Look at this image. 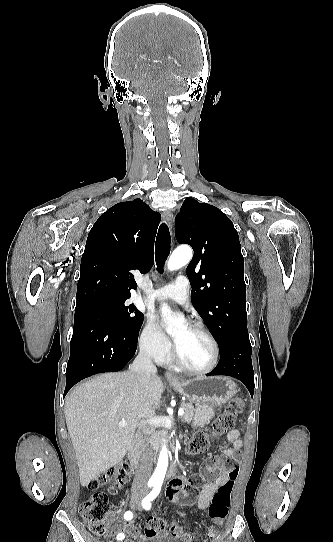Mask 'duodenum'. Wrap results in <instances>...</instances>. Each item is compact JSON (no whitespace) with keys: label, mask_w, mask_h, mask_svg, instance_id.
Instances as JSON below:
<instances>
[{"label":"duodenum","mask_w":333,"mask_h":542,"mask_svg":"<svg viewBox=\"0 0 333 542\" xmlns=\"http://www.w3.org/2000/svg\"><path fill=\"white\" fill-rule=\"evenodd\" d=\"M127 457L130 465L133 469L137 470L141 466L142 456H141V439L139 436L135 437L131 442ZM177 473V467L175 464H171L168 469V477H173Z\"/></svg>","instance_id":"obj_1"}]
</instances>
